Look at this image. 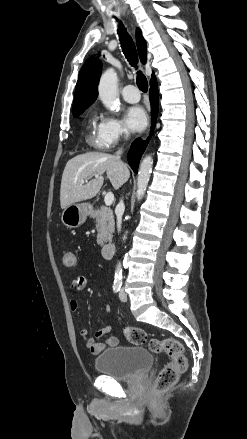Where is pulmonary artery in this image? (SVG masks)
Listing matches in <instances>:
<instances>
[{
  "instance_id": "e3ab8cb5",
  "label": "pulmonary artery",
  "mask_w": 247,
  "mask_h": 439,
  "mask_svg": "<svg viewBox=\"0 0 247 439\" xmlns=\"http://www.w3.org/2000/svg\"><path fill=\"white\" fill-rule=\"evenodd\" d=\"M122 97L129 103H136L140 100V93L134 85H126L122 90Z\"/></svg>"
}]
</instances>
